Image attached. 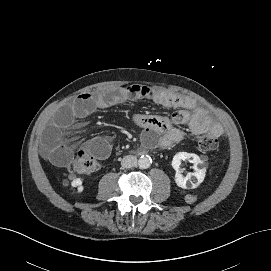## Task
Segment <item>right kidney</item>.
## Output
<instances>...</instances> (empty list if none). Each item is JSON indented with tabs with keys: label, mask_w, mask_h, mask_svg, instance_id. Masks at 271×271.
I'll return each mask as SVG.
<instances>
[{
	"label": "right kidney",
	"mask_w": 271,
	"mask_h": 271,
	"mask_svg": "<svg viewBox=\"0 0 271 271\" xmlns=\"http://www.w3.org/2000/svg\"><path fill=\"white\" fill-rule=\"evenodd\" d=\"M71 185L73 187H78V192L81 193L84 189V187L82 186V180L80 178H76L72 181Z\"/></svg>",
	"instance_id": "right-kidney-1"
}]
</instances>
